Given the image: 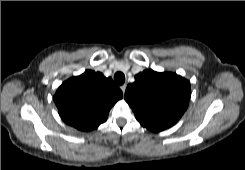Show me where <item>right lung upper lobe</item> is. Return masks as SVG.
Returning a JSON list of instances; mask_svg holds the SVG:
<instances>
[{
  "label": "right lung upper lobe",
  "mask_w": 245,
  "mask_h": 170,
  "mask_svg": "<svg viewBox=\"0 0 245 170\" xmlns=\"http://www.w3.org/2000/svg\"><path fill=\"white\" fill-rule=\"evenodd\" d=\"M123 97L111 78L86 70L58 88L54 102L64 122L81 131H90L105 122L111 107Z\"/></svg>",
  "instance_id": "cb5924a9"
}]
</instances>
